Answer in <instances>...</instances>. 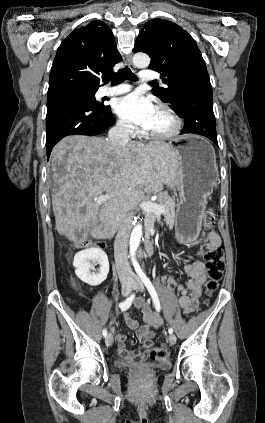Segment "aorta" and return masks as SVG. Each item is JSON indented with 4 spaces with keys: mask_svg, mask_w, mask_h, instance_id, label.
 <instances>
[{
    "mask_svg": "<svg viewBox=\"0 0 265 423\" xmlns=\"http://www.w3.org/2000/svg\"><path fill=\"white\" fill-rule=\"evenodd\" d=\"M133 63L136 67L145 68L150 64V57L145 53H136L133 56ZM143 235L142 225L136 224L131 232L129 242V256L133 263H136V252L139 248Z\"/></svg>",
    "mask_w": 265,
    "mask_h": 423,
    "instance_id": "762f6f07",
    "label": "aorta"
}]
</instances>
